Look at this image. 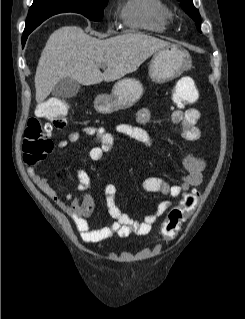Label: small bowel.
<instances>
[{
    "mask_svg": "<svg viewBox=\"0 0 245 319\" xmlns=\"http://www.w3.org/2000/svg\"><path fill=\"white\" fill-rule=\"evenodd\" d=\"M176 89L185 94L193 93L192 102L198 98L194 82L190 77H182L178 80ZM200 112L196 108L186 110H175L171 114V123L180 127V135L186 141H196L201 138V130L197 123L200 119ZM151 113L147 108L140 109L136 114L137 126L130 124H120L115 127V132L124 135L146 147H151L153 143L152 135L145 126L150 122ZM82 133L95 138L96 146L89 151V158L92 161H100L112 148L114 137L102 127L86 126ZM80 138L78 131L68 133L66 139L57 142L58 150H64L70 142H76ZM184 173L181 175L179 184L170 185L161 177H148L143 180L142 188L148 193H160L165 196L178 197L191 188L202 182V173L205 168V161L201 156L195 155L190 149H185L182 158ZM29 175L41 190L53 200V202L74 222L79 234L84 242L96 243L107 240L114 233L125 237L132 233L138 235L149 234L161 216L170 208L171 201H162L157 209L143 221L130 218L118 207L116 203L117 188L114 184L108 183L104 186L106 206L114 222L110 226L93 229L88 222V218L94 211V201L87 192L92 187L90 175L82 168H75L74 172L78 179L75 188L82 194L77 197L67 195L70 203L60 200L55 191L50 187L47 180L41 177L34 168H29Z\"/></svg>",
    "mask_w": 245,
    "mask_h": 319,
    "instance_id": "c3829d8e",
    "label": "small bowel"
}]
</instances>
